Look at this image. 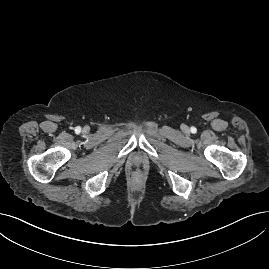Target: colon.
Listing matches in <instances>:
<instances>
[{"mask_svg":"<svg viewBox=\"0 0 269 269\" xmlns=\"http://www.w3.org/2000/svg\"><path fill=\"white\" fill-rule=\"evenodd\" d=\"M141 175V172L139 171V170H137L136 172H135V176L136 177H139Z\"/></svg>","mask_w":269,"mask_h":269,"instance_id":"obj_1","label":"colon"}]
</instances>
